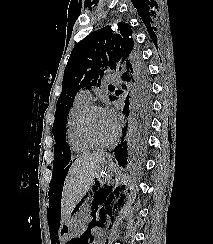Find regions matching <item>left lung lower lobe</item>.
Instances as JSON below:
<instances>
[{
	"label": "left lung lower lobe",
	"mask_w": 213,
	"mask_h": 244,
	"mask_svg": "<svg viewBox=\"0 0 213 244\" xmlns=\"http://www.w3.org/2000/svg\"><path fill=\"white\" fill-rule=\"evenodd\" d=\"M123 114L129 118V123L124 128V132L128 131L129 140L128 142H123L122 139L120 146L114 150L116 159L121 166L126 164L128 147L135 153L144 151L150 127V112H147L145 109L134 108L125 104Z\"/></svg>",
	"instance_id": "1"
}]
</instances>
